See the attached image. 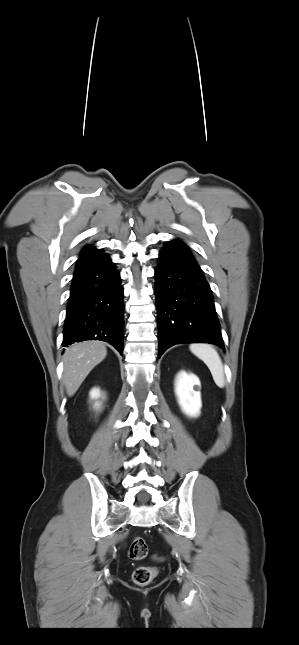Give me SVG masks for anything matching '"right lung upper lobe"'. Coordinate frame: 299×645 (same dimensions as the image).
Masks as SVG:
<instances>
[{"label":"right lung upper lobe","mask_w":299,"mask_h":645,"mask_svg":"<svg viewBox=\"0 0 299 645\" xmlns=\"http://www.w3.org/2000/svg\"><path fill=\"white\" fill-rule=\"evenodd\" d=\"M105 256L106 254L102 250L96 249L94 246H86L80 253V256L77 260L76 269L97 261Z\"/></svg>","instance_id":"right-lung-upper-lobe-1"}]
</instances>
